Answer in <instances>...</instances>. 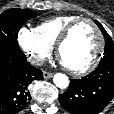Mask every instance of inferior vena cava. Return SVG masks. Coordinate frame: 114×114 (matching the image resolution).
Returning a JSON list of instances; mask_svg holds the SVG:
<instances>
[{
  "mask_svg": "<svg viewBox=\"0 0 114 114\" xmlns=\"http://www.w3.org/2000/svg\"><path fill=\"white\" fill-rule=\"evenodd\" d=\"M44 58L39 55H32L28 58V62L32 65L41 66L44 64Z\"/></svg>",
  "mask_w": 114,
  "mask_h": 114,
  "instance_id": "obj_1",
  "label": "inferior vena cava"
}]
</instances>
